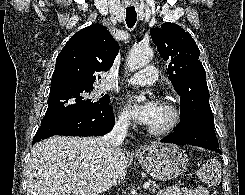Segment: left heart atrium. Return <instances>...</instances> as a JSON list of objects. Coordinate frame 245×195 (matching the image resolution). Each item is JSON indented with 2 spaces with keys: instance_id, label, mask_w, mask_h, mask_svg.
<instances>
[{
  "instance_id": "left-heart-atrium-1",
  "label": "left heart atrium",
  "mask_w": 245,
  "mask_h": 195,
  "mask_svg": "<svg viewBox=\"0 0 245 195\" xmlns=\"http://www.w3.org/2000/svg\"><path fill=\"white\" fill-rule=\"evenodd\" d=\"M126 101L133 118L144 125H149L158 111L159 104L153 100L140 102L135 95H129Z\"/></svg>"
}]
</instances>
